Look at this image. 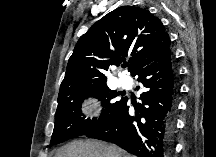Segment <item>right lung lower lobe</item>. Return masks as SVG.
I'll return each mask as SVG.
<instances>
[{"label": "right lung lower lobe", "mask_w": 216, "mask_h": 157, "mask_svg": "<svg viewBox=\"0 0 216 157\" xmlns=\"http://www.w3.org/2000/svg\"><path fill=\"white\" fill-rule=\"evenodd\" d=\"M135 76L145 90L136 115L125 98L117 114L89 138L112 142L138 157H170L174 145L178 85L170 50Z\"/></svg>", "instance_id": "right-lung-lower-lobe-1"}]
</instances>
